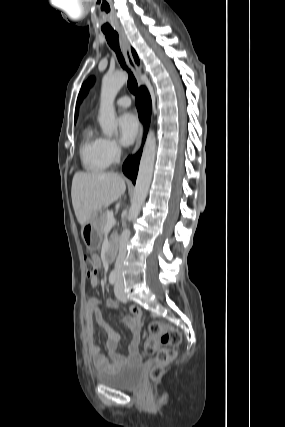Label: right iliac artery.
Returning <instances> with one entry per match:
<instances>
[{
	"label": "right iliac artery",
	"instance_id": "right-iliac-artery-1",
	"mask_svg": "<svg viewBox=\"0 0 285 427\" xmlns=\"http://www.w3.org/2000/svg\"><path fill=\"white\" fill-rule=\"evenodd\" d=\"M109 282H110V284H115V282H116V271L115 270H113L111 273H110V275H109Z\"/></svg>",
	"mask_w": 285,
	"mask_h": 427
}]
</instances>
